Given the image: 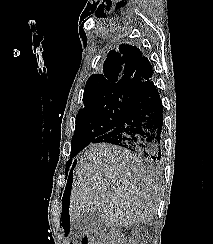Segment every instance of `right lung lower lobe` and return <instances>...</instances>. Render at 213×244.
I'll return each instance as SVG.
<instances>
[{
    "mask_svg": "<svg viewBox=\"0 0 213 244\" xmlns=\"http://www.w3.org/2000/svg\"><path fill=\"white\" fill-rule=\"evenodd\" d=\"M163 105L157 87L150 81L131 101L117 126L92 143H111L151 161L161 159ZM75 162L72 165V169ZM72 169L65 192L70 193ZM65 195V193H64Z\"/></svg>",
    "mask_w": 213,
    "mask_h": 244,
    "instance_id": "right-lung-lower-lobe-1",
    "label": "right lung lower lobe"
}]
</instances>
